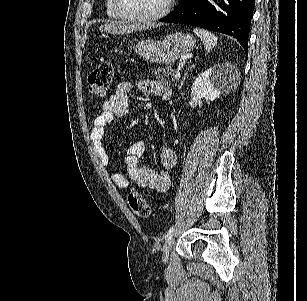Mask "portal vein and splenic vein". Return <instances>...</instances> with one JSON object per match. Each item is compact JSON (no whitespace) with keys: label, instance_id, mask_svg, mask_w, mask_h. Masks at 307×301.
<instances>
[{"label":"portal vein and splenic vein","instance_id":"portal-vein-and-splenic-vein-1","mask_svg":"<svg viewBox=\"0 0 307 301\" xmlns=\"http://www.w3.org/2000/svg\"><path fill=\"white\" fill-rule=\"evenodd\" d=\"M175 76H176V78H180V76H181L180 72H176Z\"/></svg>","mask_w":307,"mask_h":301}]
</instances>
